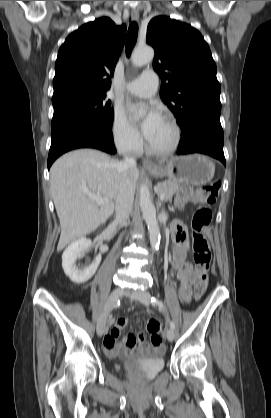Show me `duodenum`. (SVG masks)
<instances>
[{"instance_id":"1","label":"duodenum","mask_w":271,"mask_h":418,"mask_svg":"<svg viewBox=\"0 0 271 418\" xmlns=\"http://www.w3.org/2000/svg\"><path fill=\"white\" fill-rule=\"evenodd\" d=\"M112 232V227H109L108 229H107V233L108 234H110Z\"/></svg>"}]
</instances>
